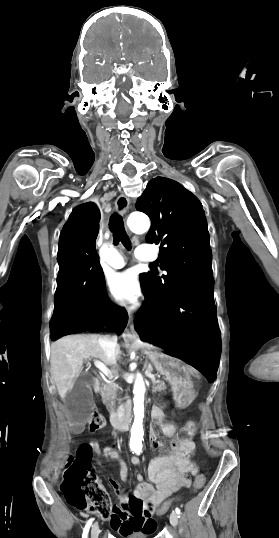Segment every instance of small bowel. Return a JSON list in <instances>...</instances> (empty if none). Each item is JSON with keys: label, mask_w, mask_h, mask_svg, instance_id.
<instances>
[{"label": "small bowel", "mask_w": 279, "mask_h": 538, "mask_svg": "<svg viewBox=\"0 0 279 538\" xmlns=\"http://www.w3.org/2000/svg\"><path fill=\"white\" fill-rule=\"evenodd\" d=\"M154 424L158 426L166 437H173L176 432V427L171 423H165L163 416L158 413L154 415ZM151 445L154 449L163 447L155 431L150 434ZM101 456L115 457L119 460L121 467V478L124 482L127 480V468L125 463L117 456L113 449H105L103 452L99 449L97 442L93 441L89 444ZM188 446L174 441L171 446V453L162 454L155 457L149 466L148 476L151 484L143 483L142 475H137L139 484L135 487L134 493L137 498L145 500V503H150L153 506L160 505L168 496L178 491L181 488L189 487L190 473L189 461L187 457ZM132 465H138L140 459L133 457ZM119 498L125 502L127 497L120 495ZM110 524L113 530L121 535L131 533L133 531H142L144 533H153L156 529L155 520L151 515L142 517H120L114 515L110 518Z\"/></svg>", "instance_id": "small-bowel-1"}]
</instances>
